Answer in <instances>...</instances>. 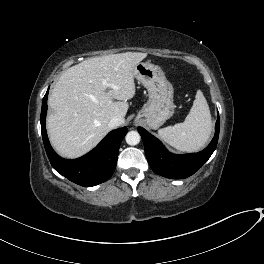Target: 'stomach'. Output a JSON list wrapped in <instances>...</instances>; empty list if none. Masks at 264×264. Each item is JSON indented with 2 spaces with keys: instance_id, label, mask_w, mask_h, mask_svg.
<instances>
[{
  "instance_id": "obj_1",
  "label": "stomach",
  "mask_w": 264,
  "mask_h": 264,
  "mask_svg": "<svg viewBox=\"0 0 264 264\" xmlns=\"http://www.w3.org/2000/svg\"><path fill=\"white\" fill-rule=\"evenodd\" d=\"M134 77L148 90L149 99L138 112L136 122L151 129H157L174 114L173 86L158 65L149 62L138 63Z\"/></svg>"
}]
</instances>
